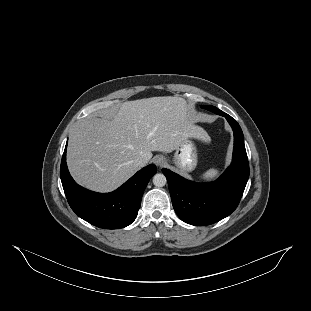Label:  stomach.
<instances>
[{"mask_svg": "<svg viewBox=\"0 0 311 311\" xmlns=\"http://www.w3.org/2000/svg\"><path fill=\"white\" fill-rule=\"evenodd\" d=\"M174 157L175 163L182 173L194 169L197 164L196 149L189 140L179 146Z\"/></svg>", "mask_w": 311, "mask_h": 311, "instance_id": "1", "label": "stomach"}]
</instances>
